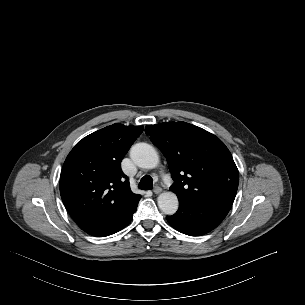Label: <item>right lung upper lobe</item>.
<instances>
[{"label": "right lung upper lobe", "mask_w": 305, "mask_h": 305, "mask_svg": "<svg viewBox=\"0 0 305 305\" xmlns=\"http://www.w3.org/2000/svg\"><path fill=\"white\" fill-rule=\"evenodd\" d=\"M143 126L113 124L82 140L68 154L60 176L62 201L87 233L105 230L137 207L120 162Z\"/></svg>", "instance_id": "right-lung-upper-lobe-1"}]
</instances>
